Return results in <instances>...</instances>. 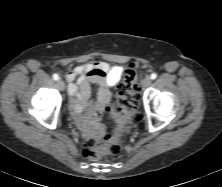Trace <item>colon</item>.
<instances>
[{
	"label": "colon",
	"mask_w": 222,
	"mask_h": 187,
	"mask_svg": "<svg viewBox=\"0 0 222 187\" xmlns=\"http://www.w3.org/2000/svg\"><path fill=\"white\" fill-rule=\"evenodd\" d=\"M136 69L128 65L123 82L116 91L113 102L109 106V113L113 118H125L137 110L139 97L136 91ZM120 152V145L110 134H104L98 140L93 135H86L82 156L88 159H100L105 155H115Z\"/></svg>",
	"instance_id": "colon-1"
}]
</instances>
